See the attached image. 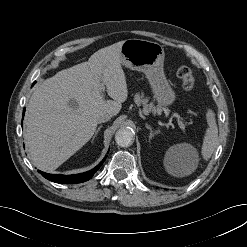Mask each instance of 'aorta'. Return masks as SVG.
I'll use <instances>...</instances> for the list:
<instances>
[{
	"label": "aorta",
	"instance_id": "762f6f07",
	"mask_svg": "<svg viewBox=\"0 0 247 247\" xmlns=\"http://www.w3.org/2000/svg\"><path fill=\"white\" fill-rule=\"evenodd\" d=\"M115 141L120 147H128L134 141V134L130 129L121 128L115 134Z\"/></svg>",
	"mask_w": 247,
	"mask_h": 247
}]
</instances>
